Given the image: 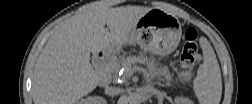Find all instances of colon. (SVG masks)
<instances>
[{"instance_id": "obj_1", "label": "colon", "mask_w": 252, "mask_h": 104, "mask_svg": "<svg viewBox=\"0 0 252 104\" xmlns=\"http://www.w3.org/2000/svg\"><path fill=\"white\" fill-rule=\"evenodd\" d=\"M198 59V34L195 29L190 28L184 34V45L181 54L183 74L186 78L192 76V69Z\"/></svg>"}]
</instances>
